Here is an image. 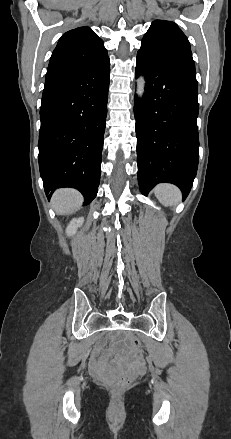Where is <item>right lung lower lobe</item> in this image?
Segmentation results:
<instances>
[{"label": "right lung lower lobe", "instance_id": "obj_1", "mask_svg": "<svg viewBox=\"0 0 231 439\" xmlns=\"http://www.w3.org/2000/svg\"><path fill=\"white\" fill-rule=\"evenodd\" d=\"M109 75L108 57L88 72L45 82L38 147L46 195L72 187L83 194L84 205L96 197Z\"/></svg>", "mask_w": 231, "mask_h": 439}]
</instances>
